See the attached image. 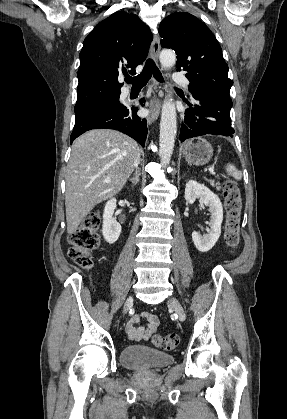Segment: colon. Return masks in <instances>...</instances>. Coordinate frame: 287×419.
I'll list each match as a JSON object with an SVG mask.
<instances>
[{
  "instance_id": "1",
  "label": "colon",
  "mask_w": 287,
  "mask_h": 419,
  "mask_svg": "<svg viewBox=\"0 0 287 419\" xmlns=\"http://www.w3.org/2000/svg\"><path fill=\"white\" fill-rule=\"evenodd\" d=\"M222 192L227 213L224 239L230 250L235 251L240 244L242 199L239 188L234 181H225ZM100 221V212L98 210L92 211L69 237L68 255L81 268L89 269L92 267L91 254L99 247L100 242ZM153 343L160 349L172 350L178 346L179 338L176 334L157 335L153 338Z\"/></svg>"
}]
</instances>
